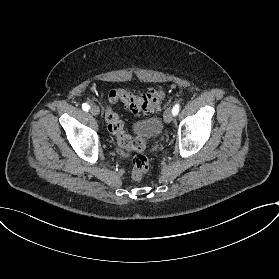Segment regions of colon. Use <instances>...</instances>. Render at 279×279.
Returning <instances> with one entry per match:
<instances>
[{
    "instance_id": "obj_1",
    "label": "colon",
    "mask_w": 279,
    "mask_h": 279,
    "mask_svg": "<svg viewBox=\"0 0 279 279\" xmlns=\"http://www.w3.org/2000/svg\"><path fill=\"white\" fill-rule=\"evenodd\" d=\"M164 98V92L160 89H149L143 93L131 92L125 88H114L109 91L104 117L108 122L109 131L116 137L122 149L140 152L145 149L146 144L142 138H133L125 131L124 123L112 107L113 104L120 101L134 114L150 115L160 109ZM149 167L147 157L135 156L132 160V177L136 180L142 179Z\"/></svg>"
}]
</instances>
